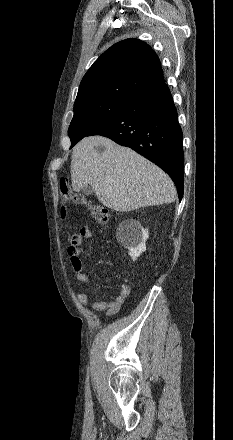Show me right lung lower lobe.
Returning a JSON list of instances; mask_svg holds the SVG:
<instances>
[{
  "label": "right lung lower lobe",
  "instance_id": "1",
  "mask_svg": "<svg viewBox=\"0 0 233 440\" xmlns=\"http://www.w3.org/2000/svg\"><path fill=\"white\" fill-rule=\"evenodd\" d=\"M91 135L108 137L158 165L173 179L179 200L182 199V130L165 83L129 100L115 116L88 136Z\"/></svg>",
  "mask_w": 233,
  "mask_h": 440
}]
</instances>
